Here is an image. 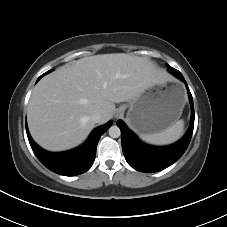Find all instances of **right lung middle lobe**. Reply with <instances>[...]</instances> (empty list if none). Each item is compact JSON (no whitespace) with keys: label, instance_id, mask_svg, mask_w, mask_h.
Here are the masks:
<instances>
[{"label":"right lung middle lobe","instance_id":"right-lung-middle-lobe-1","mask_svg":"<svg viewBox=\"0 0 227 227\" xmlns=\"http://www.w3.org/2000/svg\"><path fill=\"white\" fill-rule=\"evenodd\" d=\"M49 72H50V71H48V72H46V73H49ZM46 73H45V74H46ZM45 74H43V75H45Z\"/></svg>","mask_w":227,"mask_h":227}]
</instances>
